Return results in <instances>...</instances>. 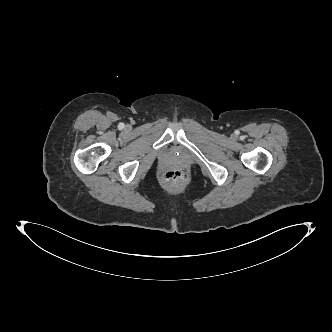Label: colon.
<instances>
[{
  "label": "colon",
  "mask_w": 332,
  "mask_h": 332,
  "mask_svg": "<svg viewBox=\"0 0 332 332\" xmlns=\"http://www.w3.org/2000/svg\"><path fill=\"white\" fill-rule=\"evenodd\" d=\"M162 180L167 183L178 184L188 180L187 174L179 170H171L162 174Z\"/></svg>",
  "instance_id": "colon-1"
}]
</instances>
